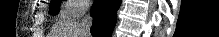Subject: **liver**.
Returning <instances> with one entry per match:
<instances>
[{
  "label": "liver",
  "instance_id": "liver-1",
  "mask_svg": "<svg viewBox=\"0 0 219 37\" xmlns=\"http://www.w3.org/2000/svg\"><path fill=\"white\" fill-rule=\"evenodd\" d=\"M78 23H67L62 25L58 31V37H79L77 30H78Z\"/></svg>",
  "mask_w": 219,
  "mask_h": 37
}]
</instances>
